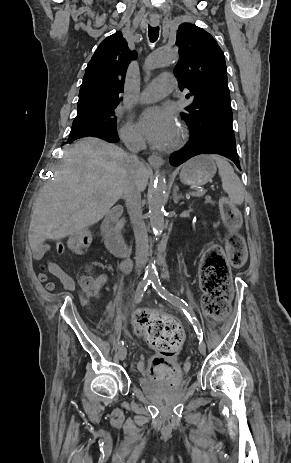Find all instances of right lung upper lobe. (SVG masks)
<instances>
[{
  "mask_svg": "<svg viewBox=\"0 0 291 463\" xmlns=\"http://www.w3.org/2000/svg\"><path fill=\"white\" fill-rule=\"evenodd\" d=\"M137 53L131 52L121 32L104 39L89 61L79 91L77 117L118 105L125 74Z\"/></svg>",
  "mask_w": 291,
  "mask_h": 463,
  "instance_id": "obj_1",
  "label": "right lung upper lobe"
}]
</instances>
